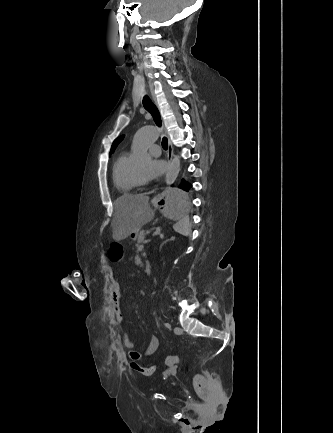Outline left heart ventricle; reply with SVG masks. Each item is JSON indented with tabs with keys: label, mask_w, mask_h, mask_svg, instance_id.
Wrapping results in <instances>:
<instances>
[{
	"label": "left heart ventricle",
	"mask_w": 333,
	"mask_h": 433,
	"mask_svg": "<svg viewBox=\"0 0 333 433\" xmlns=\"http://www.w3.org/2000/svg\"><path fill=\"white\" fill-rule=\"evenodd\" d=\"M152 157H153V155L150 152H148V153H146L147 160L145 162L135 164L133 166L138 178L142 181H144V170H145L146 166L148 165V162L151 160Z\"/></svg>",
	"instance_id": "1"
}]
</instances>
